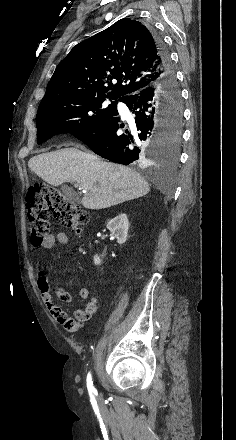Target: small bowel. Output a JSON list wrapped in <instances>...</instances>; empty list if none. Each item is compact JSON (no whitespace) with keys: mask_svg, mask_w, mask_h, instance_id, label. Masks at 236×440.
<instances>
[{"mask_svg":"<svg viewBox=\"0 0 236 440\" xmlns=\"http://www.w3.org/2000/svg\"><path fill=\"white\" fill-rule=\"evenodd\" d=\"M69 237L65 232H59L57 234L47 235L42 244V249L49 250L53 248L56 243L60 245H67ZM38 287L41 292V299L47 307L49 313L60 323L63 319L71 318L74 321H63L62 329L76 331L80 329V323L87 321L97 309L98 300L96 297H90V291L88 288H82L79 291V297L85 300V306L83 309L75 311L74 317H70L64 310H62L55 302L53 294H55L61 301L70 302L72 297L69 292L64 290L60 286H55L53 291L48 284L46 275L44 272H39L38 275Z\"/></svg>","mask_w":236,"mask_h":440,"instance_id":"obj_1","label":"small bowel"}]
</instances>
